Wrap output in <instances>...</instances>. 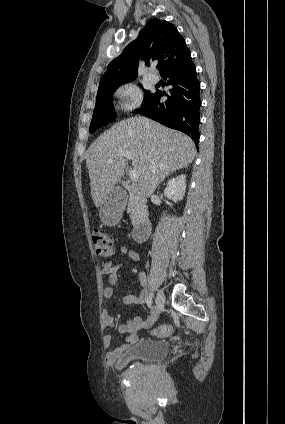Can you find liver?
<instances>
[{
    "label": "liver",
    "instance_id": "1",
    "mask_svg": "<svg viewBox=\"0 0 285 424\" xmlns=\"http://www.w3.org/2000/svg\"><path fill=\"white\" fill-rule=\"evenodd\" d=\"M127 152L139 174L138 190L151 196L165 177L187 167L196 149L187 135L144 117H131L113 125L89 147L86 154L91 195L99 207L114 190L126 165L117 152ZM112 159V162L109 161Z\"/></svg>",
    "mask_w": 285,
    "mask_h": 424
}]
</instances>
